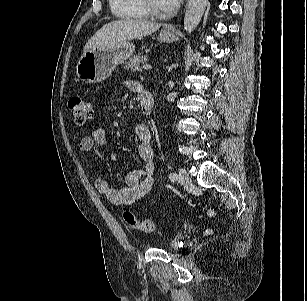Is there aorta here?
<instances>
[{
  "label": "aorta",
  "instance_id": "obj_1",
  "mask_svg": "<svg viewBox=\"0 0 307 301\" xmlns=\"http://www.w3.org/2000/svg\"><path fill=\"white\" fill-rule=\"evenodd\" d=\"M208 0H188L185 16H184V30L191 34L198 26Z\"/></svg>",
  "mask_w": 307,
  "mask_h": 301
}]
</instances>
